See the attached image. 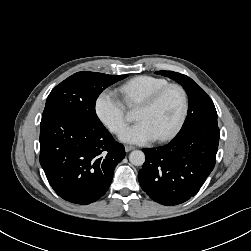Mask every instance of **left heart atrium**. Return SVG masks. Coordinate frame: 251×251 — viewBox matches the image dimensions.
<instances>
[{
	"label": "left heart atrium",
	"mask_w": 251,
	"mask_h": 251,
	"mask_svg": "<svg viewBox=\"0 0 251 251\" xmlns=\"http://www.w3.org/2000/svg\"><path fill=\"white\" fill-rule=\"evenodd\" d=\"M120 139L132 144H145L156 139V136L146 121H138L134 125L125 128L120 133Z\"/></svg>",
	"instance_id": "left-heart-atrium-1"
}]
</instances>
